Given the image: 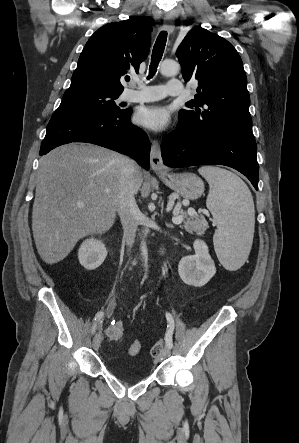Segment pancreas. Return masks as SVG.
Returning <instances> with one entry per match:
<instances>
[{
	"label": "pancreas",
	"instance_id": "1",
	"mask_svg": "<svg viewBox=\"0 0 299 443\" xmlns=\"http://www.w3.org/2000/svg\"><path fill=\"white\" fill-rule=\"evenodd\" d=\"M178 215L185 220L180 227L184 228L190 234L196 233L197 235H203L208 228V223L202 216L189 215L183 211H180Z\"/></svg>",
	"mask_w": 299,
	"mask_h": 443
}]
</instances>
